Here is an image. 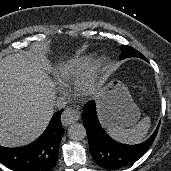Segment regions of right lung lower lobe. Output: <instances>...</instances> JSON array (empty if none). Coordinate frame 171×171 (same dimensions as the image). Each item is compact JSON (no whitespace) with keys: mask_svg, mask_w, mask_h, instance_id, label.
I'll return each instance as SVG.
<instances>
[{"mask_svg":"<svg viewBox=\"0 0 171 171\" xmlns=\"http://www.w3.org/2000/svg\"><path fill=\"white\" fill-rule=\"evenodd\" d=\"M62 111L53 115L44 133L31 144L19 148L0 146V162L15 171H51L56 165L64 134L60 126Z\"/></svg>","mask_w":171,"mask_h":171,"instance_id":"1","label":"right lung lower lobe"}]
</instances>
